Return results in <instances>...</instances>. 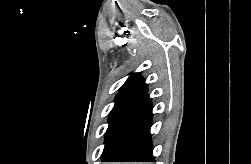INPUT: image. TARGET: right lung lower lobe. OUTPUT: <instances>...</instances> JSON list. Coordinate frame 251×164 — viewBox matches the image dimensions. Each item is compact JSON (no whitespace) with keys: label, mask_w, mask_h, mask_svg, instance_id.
I'll use <instances>...</instances> for the list:
<instances>
[{"label":"right lung lower lobe","mask_w":251,"mask_h":164,"mask_svg":"<svg viewBox=\"0 0 251 164\" xmlns=\"http://www.w3.org/2000/svg\"><path fill=\"white\" fill-rule=\"evenodd\" d=\"M151 124V99L143 93L142 97L114 124L105 140L102 160L104 162H154L150 138Z\"/></svg>","instance_id":"1"}]
</instances>
